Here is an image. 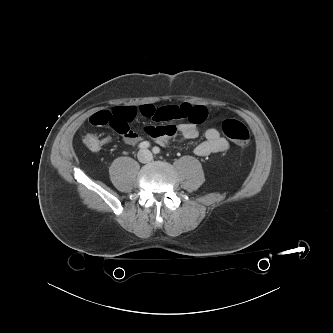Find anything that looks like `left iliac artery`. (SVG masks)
I'll return each mask as SVG.
<instances>
[{
    "label": "left iliac artery",
    "instance_id": "obj_1",
    "mask_svg": "<svg viewBox=\"0 0 333 333\" xmlns=\"http://www.w3.org/2000/svg\"><path fill=\"white\" fill-rule=\"evenodd\" d=\"M152 152H153L154 154H158V153H160V148L157 147V146H155V147L152 148Z\"/></svg>",
    "mask_w": 333,
    "mask_h": 333
}]
</instances>
